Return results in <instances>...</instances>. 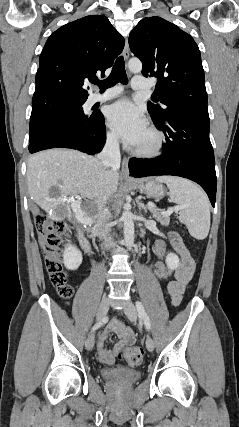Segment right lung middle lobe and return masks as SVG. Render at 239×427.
Wrapping results in <instances>:
<instances>
[{
    "label": "right lung middle lobe",
    "mask_w": 239,
    "mask_h": 427,
    "mask_svg": "<svg viewBox=\"0 0 239 427\" xmlns=\"http://www.w3.org/2000/svg\"><path fill=\"white\" fill-rule=\"evenodd\" d=\"M85 101L86 99H78L63 95L32 99L29 141L34 138L35 134L50 118L60 113L73 111L81 120H87L90 116H86L82 108Z\"/></svg>",
    "instance_id": "1"
}]
</instances>
